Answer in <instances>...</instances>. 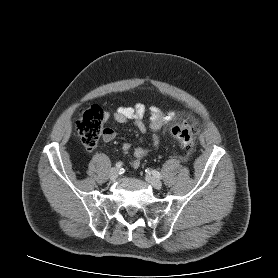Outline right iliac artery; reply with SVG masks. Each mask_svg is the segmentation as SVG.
I'll use <instances>...</instances> for the list:
<instances>
[{
  "mask_svg": "<svg viewBox=\"0 0 278 278\" xmlns=\"http://www.w3.org/2000/svg\"><path fill=\"white\" fill-rule=\"evenodd\" d=\"M116 167H117V168H121V167H122V162H117V163H116Z\"/></svg>",
  "mask_w": 278,
  "mask_h": 278,
  "instance_id": "right-iliac-artery-1",
  "label": "right iliac artery"
}]
</instances>
